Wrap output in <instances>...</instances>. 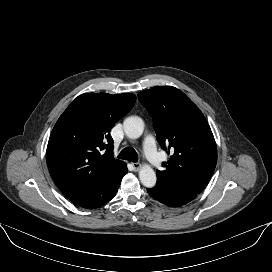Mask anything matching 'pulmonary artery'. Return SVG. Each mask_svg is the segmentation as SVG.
I'll return each mask as SVG.
<instances>
[{"label": "pulmonary artery", "mask_w": 272, "mask_h": 272, "mask_svg": "<svg viewBox=\"0 0 272 272\" xmlns=\"http://www.w3.org/2000/svg\"><path fill=\"white\" fill-rule=\"evenodd\" d=\"M143 149L150 163L156 167H159L161 165L162 159L160 154L156 150L155 140L151 135L145 138L143 143Z\"/></svg>", "instance_id": "e3ab8cb5"}]
</instances>
